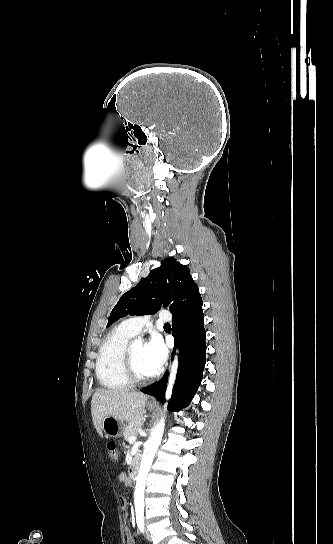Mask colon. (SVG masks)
Instances as JSON below:
<instances>
[{
    "instance_id": "obj_1",
    "label": "colon",
    "mask_w": 333,
    "mask_h": 544,
    "mask_svg": "<svg viewBox=\"0 0 333 544\" xmlns=\"http://www.w3.org/2000/svg\"><path fill=\"white\" fill-rule=\"evenodd\" d=\"M107 450H108L109 457H110L112 460H116L117 457H118V448H117L116 442H114V441H109V442L107 443Z\"/></svg>"
}]
</instances>
